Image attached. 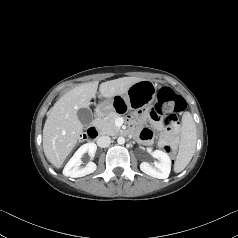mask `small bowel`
<instances>
[{"instance_id":"c3829d8e","label":"small bowel","mask_w":238,"mask_h":238,"mask_svg":"<svg viewBox=\"0 0 238 238\" xmlns=\"http://www.w3.org/2000/svg\"><path fill=\"white\" fill-rule=\"evenodd\" d=\"M146 113H139L136 117V120L133 119L131 120V127L132 130L137 133L138 138L141 142L145 143V144H151L154 139H155V134L148 128H139V123L144 122L145 120H147V118L149 117V119L151 120L153 126L158 129V130H162L164 128V124H163V117L161 114H159V112L156 110L155 107L150 106L147 108ZM163 141H170L173 144L176 143L177 141V132L176 131H167L164 134H162L159 137V145L161 146Z\"/></svg>"}]
</instances>
